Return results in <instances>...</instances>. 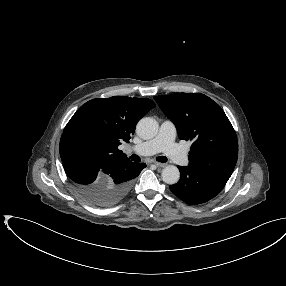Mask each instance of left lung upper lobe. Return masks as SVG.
I'll return each mask as SVG.
<instances>
[{"label": "left lung upper lobe", "mask_w": 286, "mask_h": 286, "mask_svg": "<svg viewBox=\"0 0 286 286\" xmlns=\"http://www.w3.org/2000/svg\"><path fill=\"white\" fill-rule=\"evenodd\" d=\"M180 139L193 142L189 166L228 180L238 157L236 133L222 108L200 93L155 96Z\"/></svg>", "instance_id": "left-lung-upper-lobe-1"}]
</instances>
